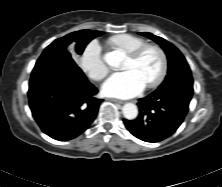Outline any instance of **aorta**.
Listing matches in <instances>:
<instances>
[{"label": "aorta", "mask_w": 222, "mask_h": 187, "mask_svg": "<svg viewBox=\"0 0 222 187\" xmlns=\"http://www.w3.org/2000/svg\"><path fill=\"white\" fill-rule=\"evenodd\" d=\"M122 60V55L118 51L108 52L104 55V61L109 66H117ZM123 115L128 120H133L138 116V108L133 103H126L122 108Z\"/></svg>", "instance_id": "obj_1"}]
</instances>
